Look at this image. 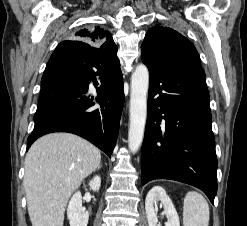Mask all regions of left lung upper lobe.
I'll list each match as a JSON object with an SVG mask.
<instances>
[{"mask_svg":"<svg viewBox=\"0 0 247 226\" xmlns=\"http://www.w3.org/2000/svg\"><path fill=\"white\" fill-rule=\"evenodd\" d=\"M144 59L167 68L185 65H201L194 45L179 32L169 27L150 29L141 46Z\"/></svg>","mask_w":247,"mask_h":226,"instance_id":"obj_1","label":"left lung upper lobe"}]
</instances>
